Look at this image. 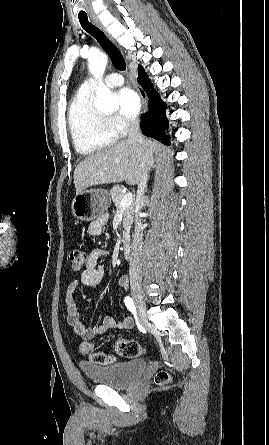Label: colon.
Wrapping results in <instances>:
<instances>
[{
	"mask_svg": "<svg viewBox=\"0 0 269 445\" xmlns=\"http://www.w3.org/2000/svg\"><path fill=\"white\" fill-rule=\"evenodd\" d=\"M69 261L72 270L78 272L85 266L86 255L82 250L73 248L69 252ZM115 348L120 356L128 359L137 358L144 352L142 346L137 341L129 339L117 340L115 343ZM80 351L92 362L99 365H108L115 362L114 356L96 352L90 343H82L80 346ZM154 380L157 384L162 385L166 384L170 380V376L166 371H159Z\"/></svg>",
	"mask_w": 269,
	"mask_h": 445,
	"instance_id": "5ec220e1",
	"label": "colon"
}]
</instances>
